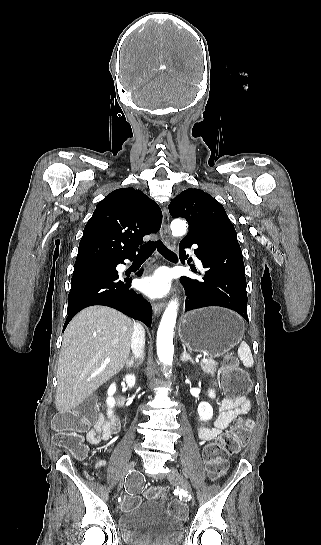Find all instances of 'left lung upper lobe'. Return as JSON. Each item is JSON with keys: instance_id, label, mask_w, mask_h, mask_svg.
Here are the masks:
<instances>
[{"instance_id": "left-lung-upper-lobe-1", "label": "left lung upper lobe", "mask_w": 321, "mask_h": 545, "mask_svg": "<svg viewBox=\"0 0 321 545\" xmlns=\"http://www.w3.org/2000/svg\"><path fill=\"white\" fill-rule=\"evenodd\" d=\"M169 212L173 218L182 217L190 223V231L183 240L217 231L235 232L223 206L199 189H187L177 195L169 205Z\"/></svg>"}]
</instances>
